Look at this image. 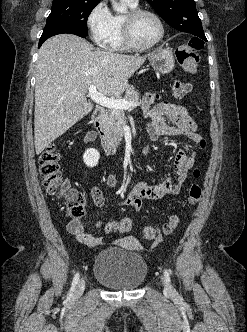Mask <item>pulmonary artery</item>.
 <instances>
[{"label": "pulmonary artery", "instance_id": "e3ab8cb5", "mask_svg": "<svg viewBox=\"0 0 247 332\" xmlns=\"http://www.w3.org/2000/svg\"><path fill=\"white\" fill-rule=\"evenodd\" d=\"M133 5H137L139 0H126Z\"/></svg>", "mask_w": 247, "mask_h": 332}]
</instances>
